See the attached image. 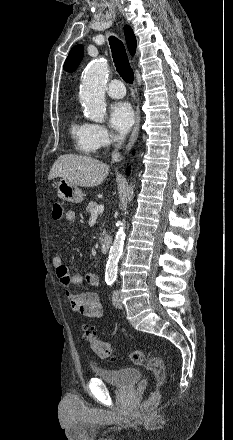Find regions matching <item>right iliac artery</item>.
Returning <instances> with one entry per match:
<instances>
[{"mask_svg":"<svg viewBox=\"0 0 233 440\" xmlns=\"http://www.w3.org/2000/svg\"><path fill=\"white\" fill-rule=\"evenodd\" d=\"M107 285H111L113 283V280H106Z\"/></svg>","mask_w":233,"mask_h":440,"instance_id":"82829eb1","label":"right iliac artery"}]
</instances>
